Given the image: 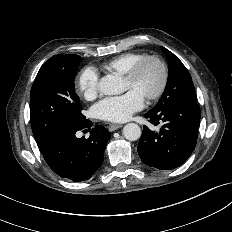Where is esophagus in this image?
Returning a JSON list of instances; mask_svg holds the SVG:
<instances>
[{"label": "esophagus", "mask_w": 232, "mask_h": 232, "mask_svg": "<svg viewBox=\"0 0 232 232\" xmlns=\"http://www.w3.org/2000/svg\"><path fill=\"white\" fill-rule=\"evenodd\" d=\"M121 127H122L121 124H112V125L109 126V131H110V132H113V131H115V130L121 128Z\"/></svg>", "instance_id": "34e87169"}]
</instances>
